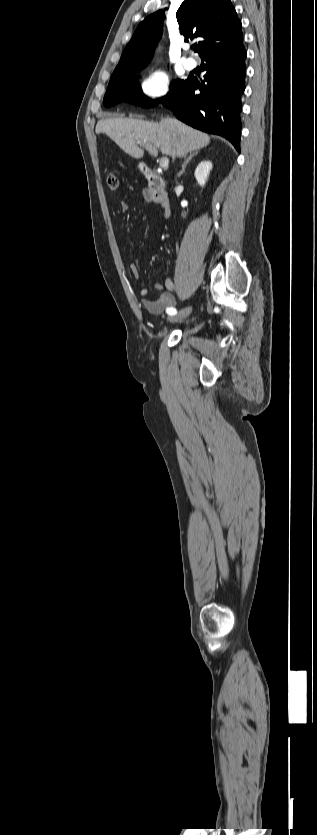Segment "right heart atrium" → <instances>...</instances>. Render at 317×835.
<instances>
[{
  "mask_svg": "<svg viewBox=\"0 0 317 835\" xmlns=\"http://www.w3.org/2000/svg\"><path fill=\"white\" fill-rule=\"evenodd\" d=\"M139 90L148 103H158L169 95L171 79L165 71L154 69L140 80Z\"/></svg>",
  "mask_w": 317,
  "mask_h": 835,
  "instance_id": "obj_1",
  "label": "right heart atrium"
}]
</instances>
